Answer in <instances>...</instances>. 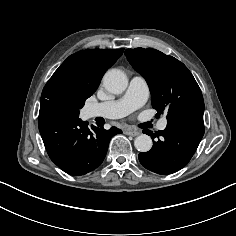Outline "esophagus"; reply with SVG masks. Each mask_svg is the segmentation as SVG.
Masks as SVG:
<instances>
[{
	"label": "esophagus",
	"mask_w": 236,
	"mask_h": 236,
	"mask_svg": "<svg viewBox=\"0 0 236 236\" xmlns=\"http://www.w3.org/2000/svg\"><path fill=\"white\" fill-rule=\"evenodd\" d=\"M127 135H130V136H138L140 134L139 131H126L125 132Z\"/></svg>",
	"instance_id": "obj_1"
}]
</instances>
